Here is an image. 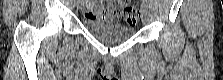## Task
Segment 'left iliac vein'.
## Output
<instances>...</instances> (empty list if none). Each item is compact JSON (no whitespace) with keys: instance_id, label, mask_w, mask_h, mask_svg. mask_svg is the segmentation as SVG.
Instances as JSON below:
<instances>
[{"instance_id":"4c4485c4","label":"left iliac vein","mask_w":223,"mask_h":80,"mask_svg":"<svg viewBox=\"0 0 223 80\" xmlns=\"http://www.w3.org/2000/svg\"><path fill=\"white\" fill-rule=\"evenodd\" d=\"M142 11V22L147 24L149 22V12L146 5H143L141 8Z\"/></svg>"}]
</instances>
